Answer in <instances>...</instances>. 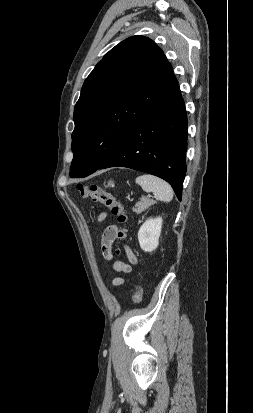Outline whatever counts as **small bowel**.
<instances>
[{"instance_id": "obj_1", "label": "small bowel", "mask_w": 253, "mask_h": 413, "mask_svg": "<svg viewBox=\"0 0 253 413\" xmlns=\"http://www.w3.org/2000/svg\"><path fill=\"white\" fill-rule=\"evenodd\" d=\"M105 218H106V214L102 213L99 216L98 220L102 222ZM116 233H117V226L110 225L105 228L103 235H102V239H101L102 252H103L104 257L109 260L112 259V245L116 239ZM126 253H127L129 263H125L120 260L115 261L113 263V269L116 272L129 273L132 270V265L137 263V258L130 248L128 247L126 248ZM124 283H125V279L122 277H116L113 280L114 285H122Z\"/></svg>"}]
</instances>
